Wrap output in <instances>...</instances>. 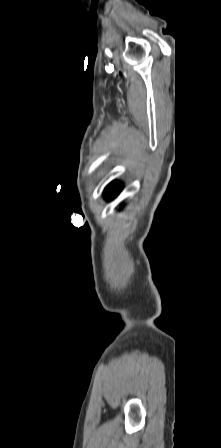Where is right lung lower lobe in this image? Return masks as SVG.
<instances>
[{
  "label": "right lung lower lobe",
  "instance_id": "right-lung-lower-lobe-1",
  "mask_svg": "<svg viewBox=\"0 0 221 448\" xmlns=\"http://www.w3.org/2000/svg\"><path fill=\"white\" fill-rule=\"evenodd\" d=\"M122 185L119 182H112L110 183L107 188L105 189V196L108 200L114 199L118 193L121 191Z\"/></svg>",
  "mask_w": 221,
  "mask_h": 448
}]
</instances>
